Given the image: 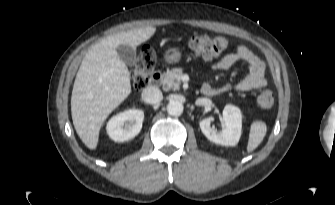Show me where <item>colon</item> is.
<instances>
[{
  "instance_id": "1",
  "label": "colon",
  "mask_w": 335,
  "mask_h": 205,
  "mask_svg": "<svg viewBox=\"0 0 335 205\" xmlns=\"http://www.w3.org/2000/svg\"><path fill=\"white\" fill-rule=\"evenodd\" d=\"M228 41L224 37L206 35L194 36L189 42V48L202 59L211 60L219 57L227 48ZM156 55L153 49L143 47L137 57L132 72V84L135 89L142 90L148 86L151 73L155 67ZM274 97L269 90L262 91L256 98V104L261 109L273 106Z\"/></svg>"
}]
</instances>
